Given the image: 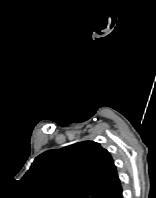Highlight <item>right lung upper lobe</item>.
Masks as SVG:
<instances>
[{
	"mask_svg": "<svg viewBox=\"0 0 156 198\" xmlns=\"http://www.w3.org/2000/svg\"><path fill=\"white\" fill-rule=\"evenodd\" d=\"M23 181L40 198H115L122 191L110 153L93 141L42 153Z\"/></svg>",
	"mask_w": 156,
	"mask_h": 198,
	"instance_id": "cb5924a9",
	"label": "right lung upper lobe"
}]
</instances>
